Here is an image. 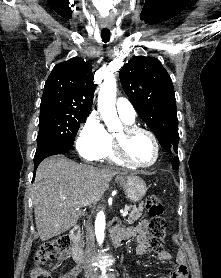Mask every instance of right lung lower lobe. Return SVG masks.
<instances>
[{
    "label": "right lung lower lobe",
    "mask_w": 221,
    "mask_h": 278,
    "mask_svg": "<svg viewBox=\"0 0 221 278\" xmlns=\"http://www.w3.org/2000/svg\"><path fill=\"white\" fill-rule=\"evenodd\" d=\"M72 146H73V144H70V143L58 144V145L51 146L49 148H46V149L36 153L35 157H34L33 176H35L36 169L44 158L51 156V155L63 154L65 152L69 151L72 148Z\"/></svg>",
    "instance_id": "1"
}]
</instances>
